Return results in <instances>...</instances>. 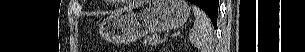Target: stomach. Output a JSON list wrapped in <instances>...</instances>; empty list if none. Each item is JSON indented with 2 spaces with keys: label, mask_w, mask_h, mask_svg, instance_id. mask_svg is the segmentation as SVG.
Returning <instances> with one entry per match:
<instances>
[{
  "label": "stomach",
  "mask_w": 305,
  "mask_h": 52,
  "mask_svg": "<svg viewBox=\"0 0 305 52\" xmlns=\"http://www.w3.org/2000/svg\"><path fill=\"white\" fill-rule=\"evenodd\" d=\"M190 12L185 0H136L104 19L99 33L108 42L127 44L148 33L181 27Z\"/></svg>",
  "instance_id": "0dacf381"
}]
</instances>
